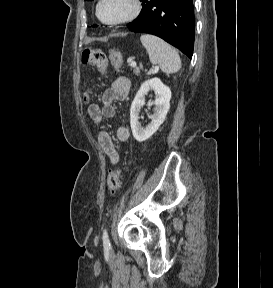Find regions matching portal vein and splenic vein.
<instances>
[{"label": "portal vein and splenic vein", "mask_w": 273, "mask_h": 288, "mask_svg": "<svg viewBox=\"0 0 273 288\" xmlns=\"http://www.w3.org/2000/svg\"><path fill=\"white\" fill-rule=\"evenodd\" d=\"M130 66L131 67H136L137 66V64H136V62H131V64H130ZM158 70V67L156 66V67H154V69L152 70V72H156Z\"/></svg>", "instance_id": "18ae733b"}]
</instances>
